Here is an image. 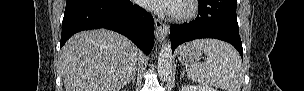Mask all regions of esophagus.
<instances>
[{"label": "esophagus", "instance_id": "obj_1", "mask_svg": "<svg viewBox=\"0 0 304 91\" xmlns=\"http://www.w3.org/2000/svg\"><path fill=\"white\" fill-rule=\"evenodd\" d=\"M155 21V37L156 40L159 42H163L165 41L168 32H169V26L167 24H165L164 22H162L160 19L158 18H154Z\"/></svg>", "mask_w": 304, "mask_h": 91}]
</instances>
